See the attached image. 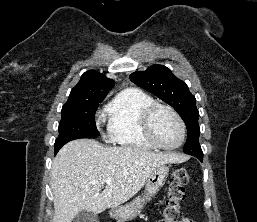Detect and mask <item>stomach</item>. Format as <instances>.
<instances>
[{
    "label": "stomach",
    "instance_id": "stomach-1",
    "mask_svg": "<svg viewBox=\"0 0 257 222\" xmlns=\"http://www.w3.org/2000/svg\"><path fill=\"white\" fill-rule=\"evenodd\" d=\"M169 173V168L165 165H160L149 175L146 181V187L143 196H139L132 202L112 208L110 216L118 221L124 222L137 217L144 204L151 200V198L164 185Z\"/></svg>",
    "mask_w": 257,
    "mask_h": 222
}]
</instances>
